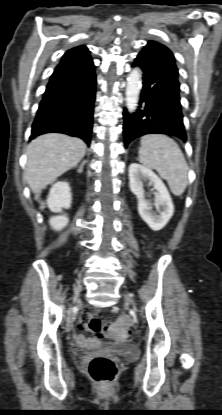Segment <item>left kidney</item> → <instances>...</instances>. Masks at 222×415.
Returning a JSON list of instances; mask_svg holds the SVG:
<instances>
[{"label":"left kidney","mask_w":222,"mask_h":415,"mask_svg":"<svg viewBox=\"0 0 222 415\" xmlns=\"http://www.w3.org/2000/svg\"><path fill=\"white\" fill-rule=\"evenodd\" d=\"M145 180H148L157 191L154 200L156 212L152 210V204L144 198L143 181ZM129 182L130 190L137 197L141 218L152 230H161L174 212L173 202L165 184L152 170L138 163L129 166Z\"/></svg>","instance_id":"obj_1"}]
</instances>
